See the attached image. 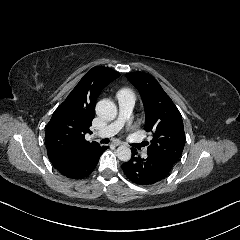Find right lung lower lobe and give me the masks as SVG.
Returning <instances> with one entry per match:
<instances>
[{
	"mask_svg": "<svg viewBox=\"0 0 240 240\" xmlns=\"http://www.w3.org/2000/svg\"><path fill=\"white\" fill-rule=\"evenodd\" d=\"M108 146H99L85 152L81 157L73 160L52 162L55 169L70 179H81L90 175L98 164L99 158Z\"/></svg>",
	"mask_w": 240,
	"mask_h": 240,
	"instance_id": "right-lung-lower-lobe-1",
	"label": "right lung lower lobe"
}]
</instances>
